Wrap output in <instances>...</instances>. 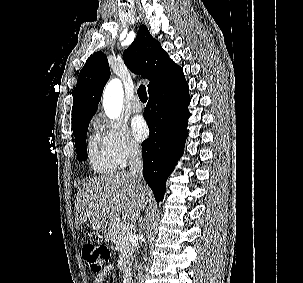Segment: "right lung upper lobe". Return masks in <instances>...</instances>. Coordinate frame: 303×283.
Masks as SVG:
<instances>
[{
  "label": "right lung upper lobe",
  "mask_w": 303,
  "mask_h": 283,
  "mask_svg": "<svg viewBox=\"0 0 303 283\" xmlns=\"http://www.w3.org/2000/svg\"><path fill=\"white\" fill-rule=\"evenodd\" d=\"M123 58L132 72L141 74L143 78L150 81L149 94L183 74L182 68L168 57L166 51L151 36L145 25H141L136 39L124 51ZM109 76V65L104 53L97 52L87 59L75 87L72 107L73 128L91 120Z\"/></svg>",
  "instance_id": "1"
}]
</instances>
